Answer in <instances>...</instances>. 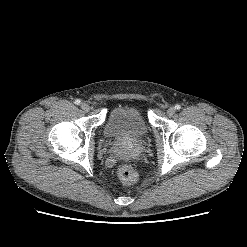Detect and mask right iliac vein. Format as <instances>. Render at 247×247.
<instances>
[{
    "mask_svg": "<svg viewBox=\"0 0 247 247\" xmlns=\"http://www.w3.org/2000/svg\"><path fill=\"white\" fill-rule=\"evenodd\" d=\"M80 107L85 112H88L90 110V106L87 103H81Z\"/></svg>",
    "mask_w": 247,
    "mask_h": 247,
    "instance_id": "right-iliac-vein-1",
    "label": "right iliac vein"
}]
</instances>
